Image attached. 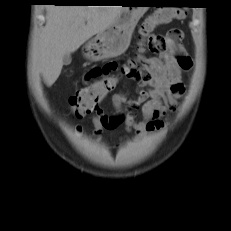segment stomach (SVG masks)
Instances as JSON below:
<instances>
[{
    "mask_svg": "<svg viewBox=\"0 0 231 231\" xmlns=\"http://www.w3.org/2000/svg\"><path fill=\"white\" fill-rule=\"evenodd\" d=\"M127 2L144 3L136 0ZM147 9L148 7H123L115 21L85 45L86 57L98 61L123 54L130 44L135 26Z\"/></svg>",
    "mask_w": 231,
    "mask_h": 231,
    "instance_id": "obj_1",
    "label": "stomach"
}]
</instances>
